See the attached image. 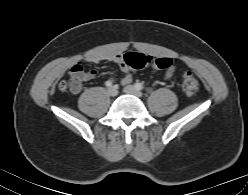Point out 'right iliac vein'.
Returning a JSON list of instances; mask_svg holds the SVG:
<instances>
[{"label":"right iliac vein","mask_w":248,"mask_h":195,"mask_svg":"<svg viewBox=\"0 0 248 195\" xmlns=\"http://www.w3.org/2000/svg\"><path fill=\"white\" fill-rule=\"evenodd\" d=\"M108 94L112 97L116 96L118 94V91L115 87H110L107 90Z\"/></svg>","instance_id":"right-iliac-vein-1"}]
</instances>
